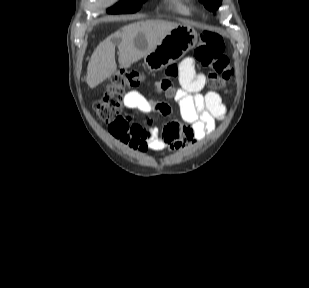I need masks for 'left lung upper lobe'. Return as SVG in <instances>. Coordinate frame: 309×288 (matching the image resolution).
Wrapping results in <instances>:
<instances>
[{"instance_id":"obj_1","label":"left lung upper lobe","mask_w":309,"mask_h":288,"mask_svg":"<svg viewBox=\"0 0 309 288\" xmlns=\"http://www.w3.org/2000/svg\"><path fill=\"white\" fill-rule=\"evenodd\" d=\"M208 9L215 11L221 5L222 0H200Z\"/></svg>"}]
</instances>
